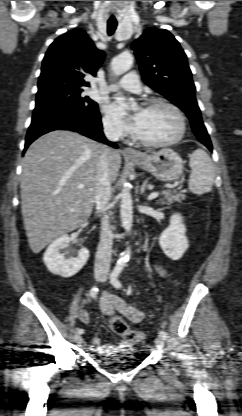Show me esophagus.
<instances>
[{"label":"esophagus","mask_w":242,"mask_h":416,"mask_svg":"<svg viewBox=\"0 0 242 416\" xmlns=\"http://www.w3.org/2000/svg\"><path fill=\"white\" fill-rule=\"evenodd\" d=\"M123 154L129 158H141L142 155L133 148L127 147L123 150Z\"/></svg>","instance_id":"obj_1"}]
</instances>
